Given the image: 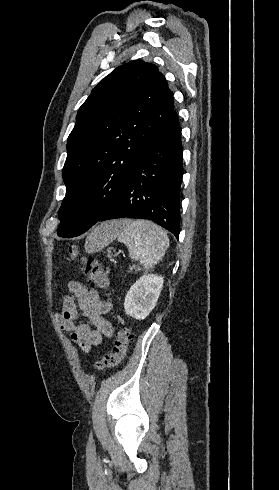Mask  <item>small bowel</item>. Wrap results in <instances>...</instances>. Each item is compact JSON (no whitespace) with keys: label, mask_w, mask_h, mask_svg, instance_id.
Instances as JSON below:
<instances>
[{"label":"small bowel","mask_w":279,"mask_h":490,"mask_svg":"<svg viewBox=\"0 0 279 490\" xmlns=\"http://www.w3.org/2000/svg\"><path fill=\"white\" fill-rule=\"evenodd\" d=\"M68 289L71 295L63 297L62 311L56 320L60 329L87 353L91 347L100 345L103 338L112 336L113 326L106 317L112 305L97 290L87 289L81 283L71 281ZM79 311L87 323H75Z\"/></svg>","instance_id":"obj_1"}]
</instances>
